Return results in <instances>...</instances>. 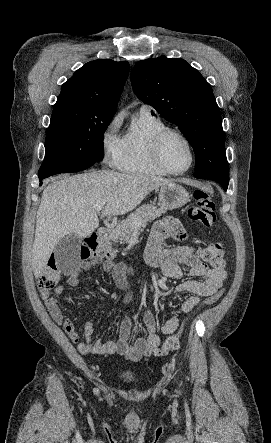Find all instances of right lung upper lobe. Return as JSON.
Instances as JSON below:
<instances>
[{
    "instance_id": "right-lung-upper-lobe-1",
    "label": "right lung upper lobe",
    "mask_w": 271,
    "mask_h": 443,
    "mask_svg": "<svg viewBox=\"0 0 271 443\" xmlns=\"http://www.w3.org/2000/svg\"><path fill=\"white\" fill-rule=\"evenodd\" d=\"M128 74L126 61L88 62L62 85L54 106L71 105L91 117L113 116Z\"/></svg>"
}]
</instances>
